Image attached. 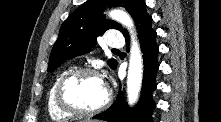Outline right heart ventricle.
Wrapping results in <instances>:
<instances>
[{
  "mask_svg": "<svg viewBox=\"0 0 221 122\" xmlns=\"http://www.w3.org/2000/svg\"><path fill=\"white\" fill-rule=\"evenodd\" d=\"M68 72L67 70L65 71H62L61 73H59L57 75V77L55 78V80L53 81L50 89H49V92H48V97H47V110H48V113L50 115V117L53 119V120H56V121H61V120H65V119H68L70 117H72L73 115L67 113V112H64L63 110H61L57 103H56V99H55V90H56V86L59 82V80L61 79V77L66 73Z\"/></svg>",
  "mask_w": 221,
  "mask_h": 122,
  "instance_id": "1",
  "label": "right heart ventricle"
}]
</instances>
